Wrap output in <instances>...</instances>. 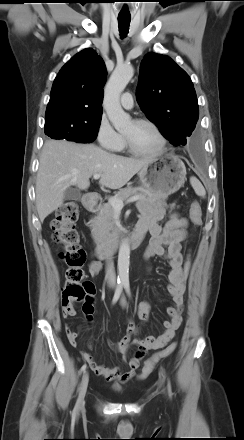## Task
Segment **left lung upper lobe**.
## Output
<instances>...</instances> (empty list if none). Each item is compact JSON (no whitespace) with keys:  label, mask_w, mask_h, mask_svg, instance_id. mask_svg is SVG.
Wrapping results in <instances>:
<instances>
[{"label":"left lung upper lobe","mask_w":244,"mask_h":440,"mask_svg":"<svg viewBox=\"0 0 244 440\" xmlns=\"http://www.w3.org/2000/svg\"><path fill=\"white\" fill-rule=\"evenodd\" d=\"M148 119L175 147L187 143L198 121V102L188 74L171 58L149 53L141 62L136 90Z\"/></svg>","instance_id":"1"}]
</instances>
